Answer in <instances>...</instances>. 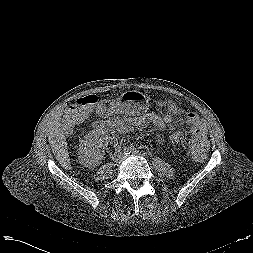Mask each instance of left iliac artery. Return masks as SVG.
<instances>
[{"label":"left iliac artery","instance_id":"left-iliac-artery-1","mask_svg":"<svg viewBox=\"0 0 253 253\" xmlns=\"http://www.w3.org/2000/svg\"><path fill=\"white\" fill-rule=\"evenodd\" d=\"M132 152L133 154H137L139 151L136 148H134Z\"/></svg>","mask_w":253,"mask_h":253}]
</instances>
